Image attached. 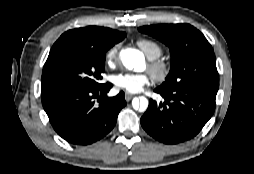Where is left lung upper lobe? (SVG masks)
I'll return each instance as SVG.
<instances>
[{
  "label": "left lung upper lobe",
  "mask_w": 254,
  "mask_h": 174,
  "mask_svg": "<svg viewBox=\"0 0 254 174\" xmlns=\"http://www.w3.org/2000/svg\"><path fill=\"white\" fill-rule=\"evenodd\" d=\"M138 30L170 48L171 69L159 89L175 91L186 86L219 88L214 51L195 27L189 24L150 25Z\"/></svg>",
  "instance_id": "1"
}]
</instances>
